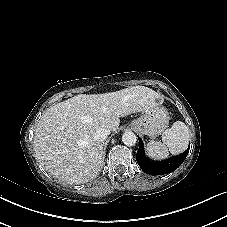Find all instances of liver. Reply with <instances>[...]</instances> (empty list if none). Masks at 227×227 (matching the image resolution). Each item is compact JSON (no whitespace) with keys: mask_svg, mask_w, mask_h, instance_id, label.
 I'll return each instance as SVG.
<instances>
[{"mask_svg":"<svg viewBox=\"0 0 227 227\" xmlns=\"http://www.w3.org/2000/svg\"><path fill=\"white\" fill-rule=\"evenodd\" d=\"M159 95L144 86L119 91L80 94L47 109L39 120L33 149L39 164L55 178L71 184L97 176L103 162L102 142L94 138L101 128L114 132L120 117L147 112Z\"/></svg>","mask_w":227,"mask_h":227,"instance_id":"6515ba94","label":"liver"}]
</instances>
